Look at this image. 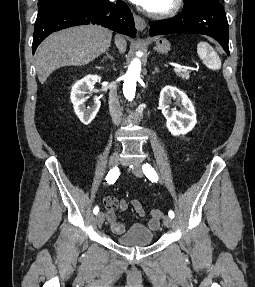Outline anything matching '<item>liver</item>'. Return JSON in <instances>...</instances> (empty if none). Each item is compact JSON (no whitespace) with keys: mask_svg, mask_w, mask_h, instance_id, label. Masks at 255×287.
Returning <instances> with one entry per match:
<instances>
[{"mask_svg":"<svg viewBox=\"0 0 255 287\" xmlns=\"http://www.w3.org/2000/svg\"><path fill=\"white\" fill-rule=\"evenodd\" d=\"M112 32L101 26H75L48 36L36 50L35 68L41 84L62 66H85L107 52ZM120 52H126L127 42L115 36Z\"/></svg>","mask_w":255,"mask_h":287,"instance_id":"6515ba94","label":"liver"}]
</instances>
